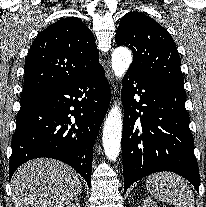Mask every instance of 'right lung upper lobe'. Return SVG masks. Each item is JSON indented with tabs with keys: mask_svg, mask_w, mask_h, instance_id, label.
I'll return each instance as SVG.
<instances>
[{
	"mask_svg": "<svg viewBox=\"0 0 206 207\" xmlns=\"http://www.w3.org/2000/svg\"><path fill=\"white\" fill-rule=\"evenodd\" d=\"M101 68L93 34L79 18L67 17L48 26L32 43L24 66L23 94L67 84Z\"/></svg>",
	"mask_w": 206,
	"mask_h": 207,
	"instance_id": "right-lung-upper-lobe-1",
	"label": "right lung upper lobe"
}]
</instances>
